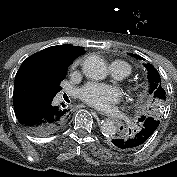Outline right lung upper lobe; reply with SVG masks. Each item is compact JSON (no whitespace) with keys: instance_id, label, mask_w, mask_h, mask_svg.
I'll return each instance as SVG.
<instances>
[{"instance_id":"right-lung-upper-lobe-1","label":"right lung upper lobe","mask_w":177,"mask_h":177,"mask_svg":"<svg viewBox=\"0 0 177 177\" xmlns=\"http://www.w3.org/2000/svg\"><path fill=\"white\" fill-rule=\"evenodd\" d=\"M82 53H84L83 47L68 44L51 46L35 53L22 63L16 74L14 86H20L30 77L43 80L63 75L72 61Z\"/></svg>"}]
</instances>
